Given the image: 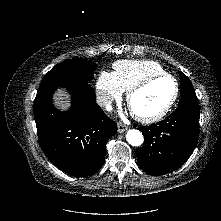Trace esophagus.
<instances>
[{
	"label": "esophagus",
	"instance_id": "obj_1",
	"mask_svg": "<svg viewBox=\"0 0 221 221\" xmlns=\"http://www.w3.org/2000/svg\"><path fill=\"white\" fill-rule=\"evenodd\" d=\"M127 129H128L127 126H125V125H123V124H121V123L118 124V132H119V133H123V132H125Z\"/></svg>",
	"mask_w": 221,
	"mask_h": 221
}]
</instances>
